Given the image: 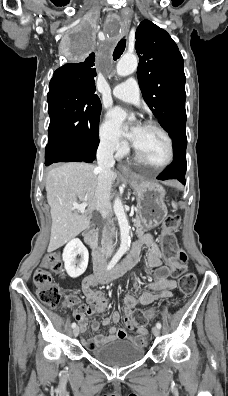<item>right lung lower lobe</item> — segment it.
Wrapping results in <instances>:
<instances>
[{
    "label": "right lung lower lobe",
    "instance_id": "obj_1",
    "mask_svg": "<svg viewBox=\"0 0 228 396\" xmlns=\"http://www.w3.org/2000/svg\"><path fill=\"white\" fill-rule=\"evenodd\" d=\"M45 161L46 166L56 162H86L63 143L56 141L48 142L45 149Z\"/></svg>",
    "mask_w": 228,
    "mask_h": 396
}]
</instances>
